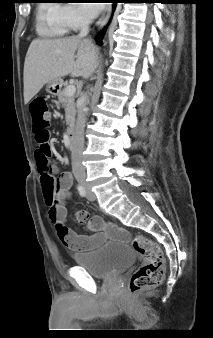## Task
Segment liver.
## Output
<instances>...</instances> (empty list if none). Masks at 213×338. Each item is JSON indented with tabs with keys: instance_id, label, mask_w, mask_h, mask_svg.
<instances>
[{
	"instance_id": "1",
	"label": "liver",
	"mask_w": 213,
	"mask_h": 338,
	"mask_svg": "<svg viewBox=\"0 0 213 338\" xmlns=\"http://www.w3.org/2000/svg\"><path fill=\"white\" fill-rule=\"evenodd\" d=\"M97 67V47L90 39L72 36L35 39L24 63V103L50 81L66 75L88 79Z\"/></svg>"
}]
</instances>
